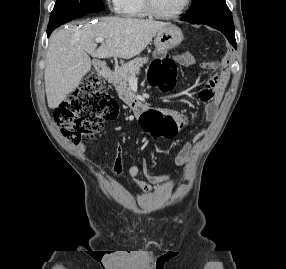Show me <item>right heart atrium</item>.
<instances>
[{
  "mask_svg": "<svg viewBox=\"0 0 286 269\" xmlns=\"http://www.w3.org/2000/svg\"><path fill=\"white\" fill-rule=\"evenodd\" d=\"M120 1L121 0H106L108 6L113 11H118L119 10Z\"/></svg>",
  "mask_w": 286,
  "mask_h": 269,
  "instance_id": "right-heart-atrium-1",
  "label": "right heart atrium"
}]
</instances>
